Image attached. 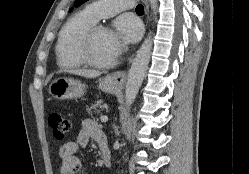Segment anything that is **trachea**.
Instances as JSON below:
<instances>
[{
  "instance_id": "obj_1",
  "label": "trachea",
  "mask_w": 249,
  "mask_h": 174,
  "mask_svg": "<svg viewBox=\"0 0 249 174\" xmlns=\"http://www.w3.org/2000/svg\"><path fill=\"white\" fill-rule=\"evenodd\" d=\"M136 13H144V7L143 5L139 4L136 7Z\"/></svg>"
}]
</instances>
